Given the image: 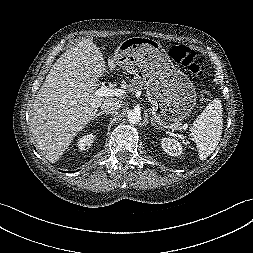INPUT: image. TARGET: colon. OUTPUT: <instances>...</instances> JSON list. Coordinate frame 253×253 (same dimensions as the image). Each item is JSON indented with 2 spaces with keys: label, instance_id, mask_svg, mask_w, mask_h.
Instances as JSON below:
<instances>
[{
  "label": "colon",
  "instance_id": "5ec220e1",
  "mask_svg": "<svg viewBox=\"0 0 253 253\" xmlns=\"http://www.w3.org/2000/svg\"><path fill=\"white\" fill-rule=\"evenodd\" d=\"M167 54L177 64L185 67L195 76H200L203 73L204 65L197 53L188 46L170 43L166 48ZM203 100H209L210 94L208 91L201 92Z\"/></svg>",
  "mask_w": 253,
  "mask_h": 253
}]
</instances>
